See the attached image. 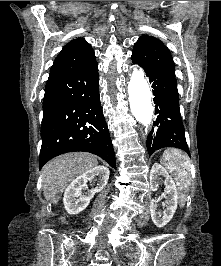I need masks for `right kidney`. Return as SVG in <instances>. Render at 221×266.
<instances>
[{"mask_svg": "<svg viewBox=\"0 0 221 266\" xmlns=\"http://www.w3.org/2000/svg\"><path fill=\"white\" fill-rule=\"evenodd\" d=\"M109 169L99 165L78 176L67 187L64 193V206L69 214H78L90 203L96 192H100L108 183ZM96 181V187L83 194V189H88L87 183Z\"/></svg>", "mask_w": 221, "mask_h": 266, "instance_id": "ca27d5eb", "label": "right kidney"}]
</instances>
